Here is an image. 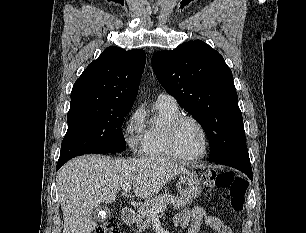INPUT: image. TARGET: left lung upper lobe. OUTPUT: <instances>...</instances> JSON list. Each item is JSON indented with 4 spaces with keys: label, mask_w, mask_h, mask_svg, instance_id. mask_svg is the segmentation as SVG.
Masks as SVG:
<instances>
[{
    "label": "left lung upper lobe",
    "mask_w": 306,
    "mask_h": 233,
    "mask_svg": "<svg viewBox=\"0 0 306 233\" xmlns=\"http://www.w3.org/2000/svg\"><path fill=\"white\" fill-rule=\"evenodd\" d=\"M151 62L165 90L204 128L209 162L248 155L233 75L216 50L196 40L157 52Z\"/></svg>",
    "instance_id": "obj_1"
}]
</instances>
